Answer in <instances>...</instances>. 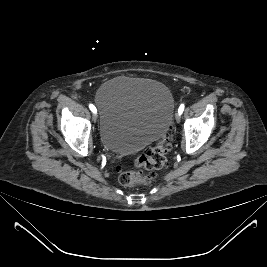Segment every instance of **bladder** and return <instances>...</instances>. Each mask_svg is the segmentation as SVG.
<instances>
[{"label":"bladder","mask_w":267,"mask_h":267,"mask_svg":"<svg viewBox=\"0 0 267 267\" xmlns=\"http://www.w3.org/2000/svg\"><path fill=\"white\" fill-rule=\"evenodd\" d=\"M103 146L131 153L161 138L169 129L174 99L164 84L125 76L105 82L95 98Z\"/></svg>","instance_id":"1"}]
</instances>
